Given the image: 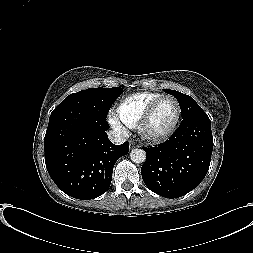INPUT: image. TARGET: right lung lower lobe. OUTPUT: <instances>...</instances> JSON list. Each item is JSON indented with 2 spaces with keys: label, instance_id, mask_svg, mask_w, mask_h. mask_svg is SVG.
<instances>
[{
  "label": "right lung lower lobe",
  "instance_id": "1",
  "mask_svg": "<svg viewBox=\"0 0 253 253\" xmlns=\"http://www.w3.org/2000/svg\"><path fill=\"white\" fill-rule=\"evenodd\" d=\"M106 118L86 109L53 110L45 134V163L55 184L77 199H94L105 193L118 158L129 152V143L109 141Z\"/></svg>",
  "mask_w": 253,
  "mask_h": 253
}]
</instances>
